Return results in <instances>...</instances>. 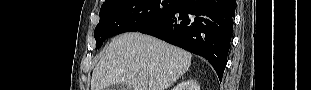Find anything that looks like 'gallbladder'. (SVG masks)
Returning a JSON list of instances; mask_svg holds the SVG:
<instances>
[{"instance_id":"gallbladder-1","label":"gallbladder","mask_w":311,"mask_h":90,"mask_svg":"<svg viewBox=\"0 0 311 90\" xmlns=\"http://www.w3.org/2000/svg\"><path fill=\"white\" fill-rule=\"evenodd\" d=\"M111 90H128V86L125 84H119L114 86L113 88H110Z\"/></svg>"}]
</instances>
